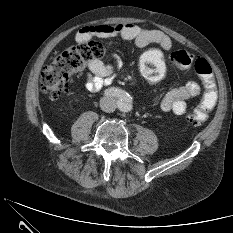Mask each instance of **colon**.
<instances>
[{"mask_svg": "<svg viewBox=\"0 0 233 233\" xmlns=\"http://www.w3.org/2000/svg\"><path fill=\"white\" fill-rule=\"evenodd\" d=\"M104 46L95 40L79 42L58 52L41 73V87L46 93L58 97L68 92L74 76L80 74L87 63L102 57ZM190 53L179 50L171 54L170 63L180 70L191 66ZM166 59L159 48L147 49L140 58V70L145 79L151 83L160 81L166 72ZM193 67L201 77L205 92L200 104L188 114V120L194 125L204 123L217 100L213 70L204 58H196Z\"/></svg>", "mask_w": 233, "mask_h": 233, "instance_id": "colon-1", "label": "colon"}]
</instances>
